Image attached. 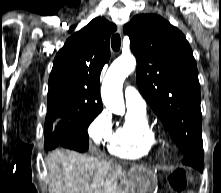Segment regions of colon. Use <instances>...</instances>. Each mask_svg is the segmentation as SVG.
<instances>
[{"label":"colon","mask_w":221,"mask_h":193,"mask_svg":"<svg viewBox=\"0 0 221 193\" xmlns=\"http://www.w3.org/2000/svg\"><path fill=\"white\" fill-rule=\"evenodd\" d=\"M168 182L171 189L177 193H182L186 190L187 179L184 171H182L181 169L173 170L168 177Z\"/></svg>","instance_id":"1"}]
</instances>
